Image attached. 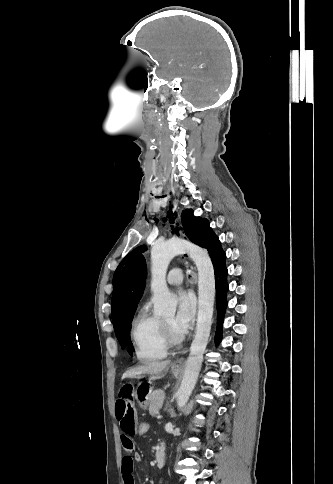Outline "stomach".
Instances as JSON below:
<instances>
[{"label":"stomach","instance_id":"stomach-1","mask_svg":"<svg viewBox=\"0 0 333 484\" xmlns=\"http://www.w3.org/2000/svg\"><path fill=\"white\" fill-rule=\"evenodd\" d=\"M181 371V368L171 365V373L177 377ZM152 394V388L148 382H141L138 384L134 393L140 407L146 409L150 402V396Z\"/></svg>","mask_w":333,"mask_h":484}]
</instances>
